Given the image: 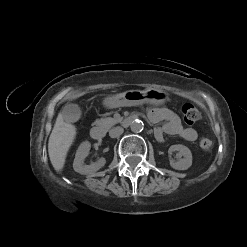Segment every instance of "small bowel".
<instances>
[{
  "label": "small bowel",
  "mask_w": 247,
  "mask_h": 247,
  "mask_svg": "<svg viewBox=\"0 0 247 247\" xmlns=\"http://www.w3.org/2000/svg\"><path fill=\"white\" fill-rule=\"evenodd\" d=\"M147 115L152 123L164 122L163 126L154 130V135L158 141H163L164 134L176 135L187 141H194L197 138L196 130L184 126L179 116L166 107L151 108Z\"/></svg>",
  "instance_id": "1"
}]
</instances>
